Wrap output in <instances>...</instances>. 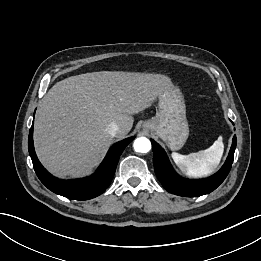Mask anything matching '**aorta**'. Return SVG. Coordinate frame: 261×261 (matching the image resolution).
Masks as SVG:
<instances>
[{
	"label": "aorta",
	"instance_id": "obj_1",
	"mask_svg": "<svg viewBox=\"0 0 261 261\" xmlns=\"http://www.w3.org/2000/svg\"><path fill=\"white\" fill-rule=\"evenodd\" d=\"M133 146L136 152L147 153L151 149V142L146 137H140L134 141Z\"/></svg>",
	"mask_w": 261,
	"mask_h": 261
}]
</instances>
